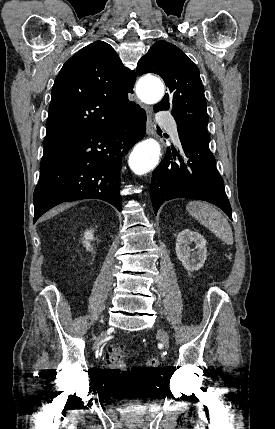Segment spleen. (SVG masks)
Returning a JSON list of instances; mask_svg holds the SVG:
<instances>
[{"label": "spleen", "instance_id": "spleen-1", "mask_svg": "<svg viewBox=\"0 0 275 429\" xmlns=\"http://www.w3.org/2000/svg\"><path fill=\"white\" fill-rule=\"evenodd\" d=\"M187 210L203 226L226 244H233V232L227 219L213 206L200 201H191Z\"/></svg>", "mask_w": 275, "mask_h": 429}]
</instances>
